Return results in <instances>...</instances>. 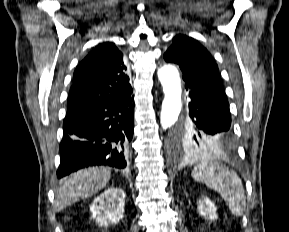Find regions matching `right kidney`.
<instances>
[{
	"instance_id": "right-kidney-1",
	"label": "right kidney",
	"mask_w": 289,
	"mask_h": 232,
	"mask_svg": "<svg viewBox=\"0 0 289 232\" xmlns=\"http://www.w3.org/2000/svg\"><path fill=\"white\" fill-rule=\"evenodd\" d=\"M126 194L119 188H108L90 206L92 217L100 227L116 225L123 216Z\"/></svg>"
}]
</instances>
